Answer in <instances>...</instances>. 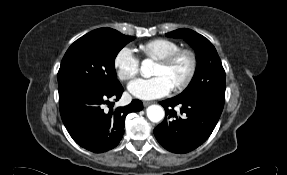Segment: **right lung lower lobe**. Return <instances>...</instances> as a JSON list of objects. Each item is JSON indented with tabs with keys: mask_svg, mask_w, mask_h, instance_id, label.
I'll return each mask as SVG.
<instances>
[{
	"mask_svg": "<svg viewBox=\"0 0 287 175\" xmlns=\"http://www.w3.org/2000/svg\"><path fill=\"white\" fill-rule=\"evenodd\" d=\"M123 87L113 91L73 88L59 93V107L63 123L81 147L94 153L108 151L118 145L124 134L125 117L142 110L140 100L128 106L105 112L103 106L121 97Z\"/></svg>",
	"mask_w": 287,
	"mask_h": 175,
	"instance_id": "98d812e1",
	"label": "right lung lower lobe"
}]
</instances>
